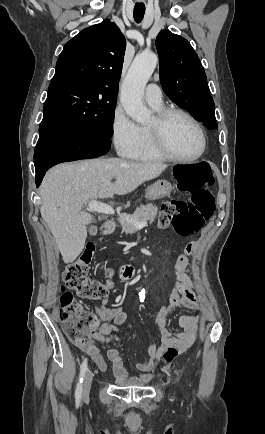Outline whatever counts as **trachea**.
<instances>
[{"label": "trachea", "instance_id": "3493384b", "mask_svg": "<svg viewBox=\"0 0 265 434\" xmlns=\"http://www.w3.org/2000/svg\"><path fill=\"white\" fill-rule=\"evenodd\" d=\"M145 14V5L143 3H136L133 11L134 19L137 23L141 22Z\"/></svg>", "mask_w": 265, "mask_h": 434}]
</instances>
